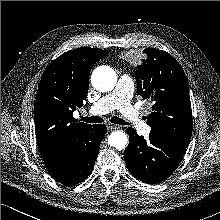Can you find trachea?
I'll return each mask as SVG.
<instances>
[{"instance_id":"1","label":"trachea","mask_w":220,"mask_h":220,"mask_svg":"<svg viewBox=\"0 0 220 220\" xmlns=\"http://www.w3.org/2000/svg\"><path fill=\"white\" fill-rule=\"evenodd\" d=\"M81 120L87 123H102L104 120L101 117L98 116H91V117H81ZM111 122L114 124H119V125H126L128 124L125 122L123 119L119 117H113L111 119Z\"/></svg>"}]
</instances>
